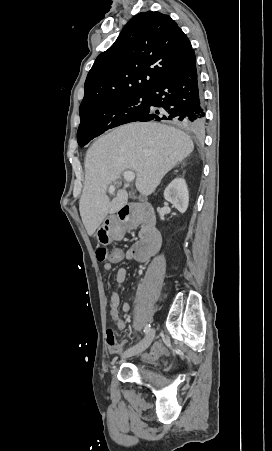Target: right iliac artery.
Instances as JSON below:
<instances>
[{
    "instance_id": "obj_1",
    "label": "right iliac artery",
    "mask_w": 272,
    "mask_h": 451,
    "mask_svg": "<svg viewBox=\"0 0 272 451\" xmlns=\"http://www.w3.org/2000/svg\"><path fill=\"white\" fill-rule=\"evenodd\" d=\"M150 324L146 325V327L144 328V332L148 333L150 331Z\"/></svg>"
}]
</instances>
